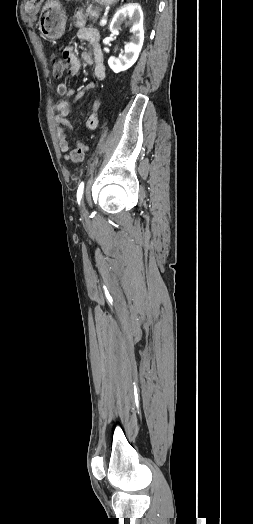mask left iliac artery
I'll return each instance as SVG.
<instances>
[{
    "label": "left iliac artery",
    "instance_id": "1",
    "mask_svg": "<svg viewBox=\"0 0 253 524\" xmlns=\"http://www.w3.org/2000/svg\"><path fill=\"white\" fill-rule=\"evenodd\" d=\"M83 189H84V183L81 182L79 187H78V190H77V201H78L79 205H80V202H81V199H82Z\"/></svg>",
    "mask_w": 253,
    "mask_h": 524
}]
</instances>
